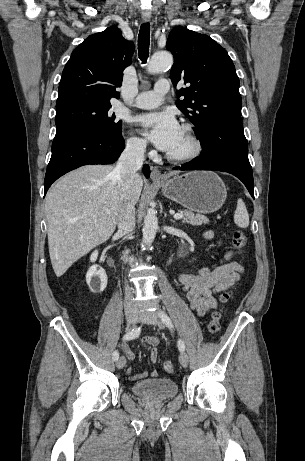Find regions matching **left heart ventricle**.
<instances>
[{
  "label": "left heart ventricle",
  "mask_w": 305,
  "mask_h": 461,
  "mask_svg": "<svg viewBox=\"0 0 305 461\" xmlns=\"http://www.w3.org/2000/svg\"><path fill=\"white\" fill-rule=\"evenodd\" d=\"M191 142L187 134L181 129L180 136L173 148L168 153L173 155H182L190 151Z\"/></svg>",
  "instance_id": "1"
}]
</instances>
